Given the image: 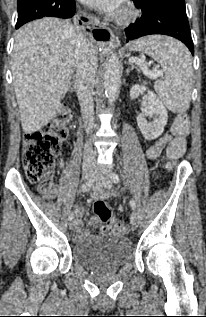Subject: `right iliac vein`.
<instances>
[{"label": "right iliac vein", "mask_w": 206, "mask_h": 317, "mask_svg": "<svg viewBox=\"0 0 206 317\" xmlns=\"http://www.w3.org/2000/svg\"><path fill=\"white\" fill-rule=\"evenodd\" d=\"M94 172L92 170H87L84 172V177L86 180H91L93 178ZM77 226L76 220H71L69 227L71 230H75Z\"/></svg>", "instance_id": "obj_1"}]
</instances>
